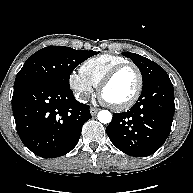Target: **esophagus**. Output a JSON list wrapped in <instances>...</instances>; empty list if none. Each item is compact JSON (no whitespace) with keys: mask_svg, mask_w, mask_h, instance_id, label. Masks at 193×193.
I'll list each match as a JSON object with an SVG mask.
<instances>
[{"mask_svg":"<svg viewBox=\"0 0 193 193\" xmlns=\"http://www.w3.org/2000/svg\"><path fill=\"white\" fill-rule=\"evenodd\" d=\"M98 111H99L98 108H94V107L90 108V113H91L92 116L96 115Z\"/></svg>","mask_w":193,"mask_h":193,"instance_id":"obj_1","label":"esophagus"}]
</instances>
